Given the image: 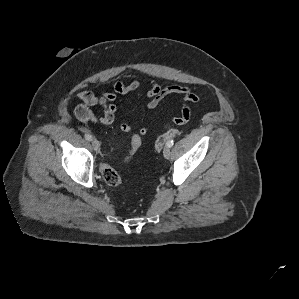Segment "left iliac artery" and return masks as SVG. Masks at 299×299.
<instances>
[{"mask_svg": "<svg viewBox=\"0 0 299 299\" xmlns=\"http://www.w3.org/2000/svg\"><path fill=\"white\" fill-rule=\"evenodd\" d=\"M166 145L171 148L174 145V140H169Z\"/></svg>", "mask_w": 299, "mask_h": 299, "instance_id": "obj_1", "label": "left iliac artery"}]
</instances>
